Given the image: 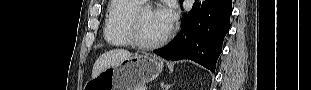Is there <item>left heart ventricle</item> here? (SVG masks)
Returning <instances> with one entry per match:
<instances>
[{
  "label": "left heart ventricle",
  "instance_id": "obj_1",
  "mask_svg": "<svg viewBox=\"0 0 311 90\" xmlns=\"http://www.w3.org/2000/svg\"><path fill=\"white\" fill-rule=\"evenodd\" d=\"M141 35L144 40L153 42L167 33V29L157 16V11L147 7L141 16Z\"/></svg>",
  "mask_w": 311,
  "mask_h": 90
}]
</instances>
